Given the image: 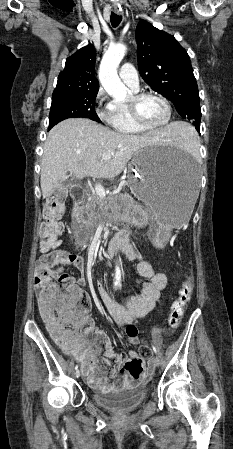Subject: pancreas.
<instances>
[{"instance_id":"pancreas-1","label":"pancreas","mask_w":233,"mask_h":449,"mask_svg":"<svg viewBox=\"0 0 233 449\" xmlns=\"http://www.w3.org/2000/svg\"><path fill=\"white\" fill-rule=\"evenodd\" d=\"M118 202H124L127 207V218L131 223L144 227L150 221V211L140 205H133L130 202V197L126 194L110 195L107 198H100L96 193H93L87 204L85 210L89 213L88 220L92 226H96L97 223L108 216L116 217L120 216V210L123 205H118Z\"/></svg>"}]
</instances>
